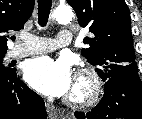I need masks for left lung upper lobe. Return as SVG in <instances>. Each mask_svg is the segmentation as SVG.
I'll return each instance as SVG.
<instances>
[{"label":"left lung upper lobe","mask_w":142,"mask_h":119,"mask_svg":"<svg viewBox=\"0 0 142 119\" xmlns=\"http://www.w3.org/2000/svg\"><path fill=\"white\" fill-rule=\"evenodd\" d=\"M81 27L89 29L82 55L107 79L138 71L131 33L129 8L124 0H67Z\"/></svg>","instance_id":"obj_1"}]
</instances>
